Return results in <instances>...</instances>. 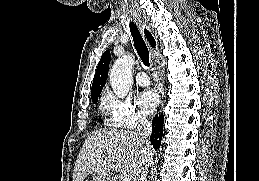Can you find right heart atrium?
<instances>
[{
    "mask_svg": "<svg viewBox=\"0 0 259 181\" xmlns=\"http://www.w3.org/2000/svg\"><path fill=\"white\" fill-rule=\"evenodd\" d=\"M102 109L106 124L120 129H136L148 123V116L139 110L129 98H121L106 91L102 97Z\"/></svg>",
    "mask_w": 259,
    "mask_h": 181,
    "instance_id": "d8ad5b80",
    "label": "right heart atrium"
}]
</instances>
